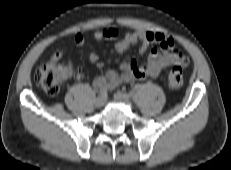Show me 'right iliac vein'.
<instances>
[{
	"label": "right iliac vein",
	"instance_id": "right-iliac-vein-1",
	"mask_svg": "<svg viewBox=\"0 0 231 170\" xmlns=\"http://www.w3.org/2000/svg\"><path fill=\"white\" fill-rule=\"evenodd\" d=\"M104 103H105V100H104V98L101 97V96L97 97L96 100H95V106H96L97 108L103 107V106H104Z\"/></svg>",
	"mask_w": 231,
	"mask_h": 170
}]
</instances>
